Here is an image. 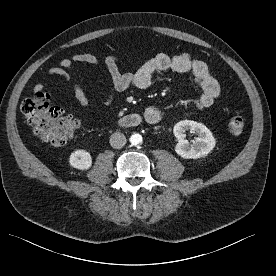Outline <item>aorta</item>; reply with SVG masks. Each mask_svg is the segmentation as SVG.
<instances>
[{
  "label": "aorta",
  "instance_id": "obj_1",
  "mask_svg": "<svg viewBox=\"0 0 276 276\" xmlns=\"http://www.w3.org/2000/svg\"><path fill=\"white\" fill-rule=\"evenodd\" d=\"M142 142V136L140 134H132L130 137V143L134 146L139 145Z\"/></svg>",
  "mask_w": 276,
  "mask_h": 276
}]
</instances>
